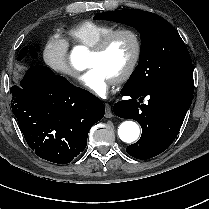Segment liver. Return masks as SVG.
<instances>
[{"instance_id":"1","label":"liver","mask_w":209,"mask_h":209,"mask_svg":"<svg viewBox=\"0 0 209 209\" xmlns=\"http://www.w3.org/2000/svg\"><path fill=\"white\" fill-rule=\"evenodd\" d=\"M25 67L23 66V65H17V69L18 70H16L15 72H14V77H16V78H19V72L21 71V70H23Z\"/></svg>"}]
</instances>
